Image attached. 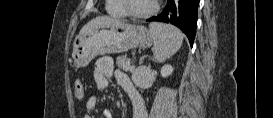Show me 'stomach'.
I'll return each mask as SVG.
<instances>
[{
	"label": "stomach",
	"instance_id": "obj_1",
	"mask_svg": "<svg viewBox=\"0 0 273 118\" xmlns=\"http://www.w3.org/2000/svg\"><path fill=\"white\" fill-rule=\"evenodd\" d=\"M152 42L146 27L116 21L77 36L72 59L75 66L85 67L98 55L121 53L136 47L148 48Z\"/></svg>",
	"mask_w": 273,
	"mask_h": 118
}]
</instances>
